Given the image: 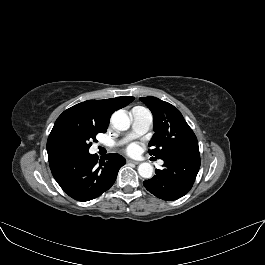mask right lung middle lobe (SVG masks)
<instances>
[{"instance_id":"right-lung-middle-lobe-1","label":"right lung middle lobe","mask_w":265,"mask_h":265,"mask_svg":"<svg viewBox=\"0 0 265 265\" xmlns=\"http://www.w3.org/2000/svg\"><path fill=\"white\" fill-rule=\"evenodd\" d=\"M99 133L85 125H67L59 129L53 137V145L63 155L85 154L92 145L91 140Z\"/></svg>"}]
</instances>
